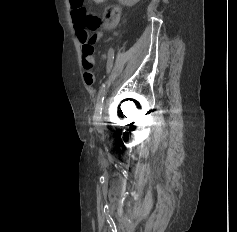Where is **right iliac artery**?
Here are the masks:
<instances>
[{"mask_svg":"<svg viewBox=\"0 0 237 232\" xmlns=\"http://www.w3.org/2000/svg\"><path fill=\"white\" fill-rule=\"evenodd\" d=\"M113 61H114V49L110 48L108 51V59H107V74L111 71ZM104 96H105V84L102 85L98 93L96 110L94 115V118L96 120H99L101 118Z\"/></svg>","mask_w":237,"mask_h":232,"instance_id":"1","label":"right iliac artery"}]
</instances>
